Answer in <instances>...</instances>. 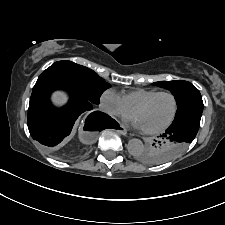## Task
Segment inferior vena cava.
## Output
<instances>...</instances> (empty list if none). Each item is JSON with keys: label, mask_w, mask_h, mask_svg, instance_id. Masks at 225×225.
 <instances>
[{"label": "inferior vena cava", "mask_w": 225, "mask_h": 225, "mask_svg": "<svg viewBox=\"0 0 225 225\" xmlns=\"http://www.w3.org/2000/svg\"><path fill=\"white\" fill-rule=\"evenodd\" d=\"M100 109H101L102 111H104V112L112 113V112H111V109H110L108 106L104 105V104H101V105H100Z\"/></svg>", "instance_id": "obj_1"}]
</instances>
